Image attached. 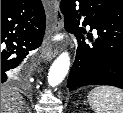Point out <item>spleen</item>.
<instances>
[{
	"label": "spleen",
	"instance_id": "1",
	"mask_svg": "<svg viewBox=\"0 0 123 113\" xmlns=\"http://www.w3.org/2000/svg\"><path fill=\"white\" fill-rule=\"evenodd\" d=\"M95 113H123V91L112 86H99L88 94Z\"/></svg>",
	"mask_w": 123,
	"mask_h": 113
}]
</instances>
